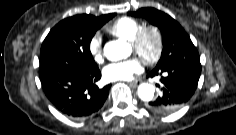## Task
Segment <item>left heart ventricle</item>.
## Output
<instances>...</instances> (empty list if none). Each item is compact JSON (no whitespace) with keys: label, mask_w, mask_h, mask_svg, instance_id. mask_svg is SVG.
Masks as SVG:
<instances>
[{"label":"left heart ventricle","mask_w":236,"mask_h":135,"mask_svg":"<svg viewBox=\"0 0 236 135\" xmlns=\"http://www.w3.org/2000/svg\"><path fill=\"white\" fill-rule=\"evenodd\" d=\"M155 49V40L152 36L148 37L145 43V52L152 53Z\"/></svg>","instance_id":"b2bd125f"}]
</instances>
